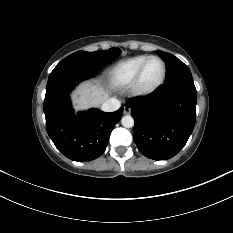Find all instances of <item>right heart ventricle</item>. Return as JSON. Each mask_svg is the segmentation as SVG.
Segmentation results:
<instances>
[{
    "label": "right heart ventricle",
    "mask_w": 233,
    "mask_h": 233,
    "mask_svg": "<svg viewBox=\"0 0 233 233\" xmlns=\"http://www.w3.org/2000/svg\"><path fill=\"white\" fill-rule=\"evenodd\" d=\"M148 55H138L117 63L109 73L112 86L120 89L131 86L135 75Z\"/></svg>",
    "instance_id": "obj_1"
}]
</instances>
